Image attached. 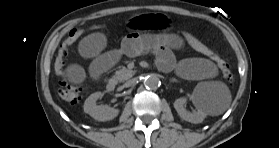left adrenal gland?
<instances>
[{"instance_id": "1", "label": "left adrenal gland", "mask_w": 279, "mask_h": 148, "mask_svg": "<svg viewBox=\"0 0 279 148\" xmlns=\"http://www.w3.org/2000/svg\"><path fill=\"white\" fill-rule=\"evenodd\" d=\"M170 82L178 83L179 81L177 79H175V78H172V79H170Z\"/></svg>"}]
</instances>
